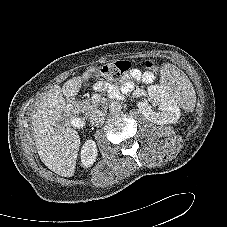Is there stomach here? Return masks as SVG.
<instances>
[{"label": "stomach", "instance_id": "stomach-1", "mask_svg": "<svg viewBox=\"0 0 227 227\" xmlns=\"http://www.w3.org/2000/svg\"><path fill=\"white\" fill-rule=\"evenodd\" d=\"M100 73H101L104 77H107V76H108V73H106V72H101V71H100Z\"/></svg>", "mask_w": 227, "mask_h": 227}]
</instances>
